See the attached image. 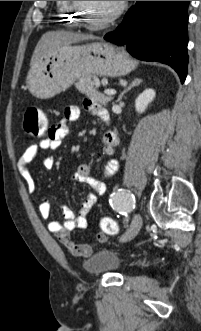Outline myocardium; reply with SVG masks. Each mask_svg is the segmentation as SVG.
<instances>
[{"label":"myocardium","mask_w":201,"mask_h":331,"mask_svg":"<svg viewBox=\"0 0 201 331\" xmlns=\"http://www.w3.org/2000/svg\"><path fill=\"white\" fill-rule=\"evenodd\" d=\"M72 7L77 11V17L79 21L85 25L93 26V27H105L113 23L123 12L125 8V1H118V5L113 13L107 16L105 19L100 21L98 24H92L84 17V6L81 1H71Z\"/></svg>","instance_id":"obj_1"}]
</instances>
